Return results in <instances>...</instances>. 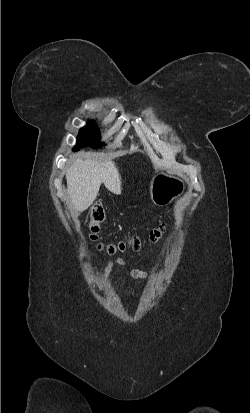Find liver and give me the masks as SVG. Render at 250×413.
Returning a JSON list of instances; mask_svg holds the SVG:
<instances>
[{
  "instance_id": "1",
  "label": "liver",
  "mask_w": 250,
  "mask_h": 413,
  "mask_svg": "<svg viewBox=\"0 0 250 413\" xmlns=\"http://www.w3.org/2000/svg\"><path fill=\"white\" fill-rule=\"evenodd\" d=\"M67 192L73 211L86 210L96 199L100 186L121 194V176L112 161L98 162L79 155L66 171Z\"/></svg>"
}]
</instances>
